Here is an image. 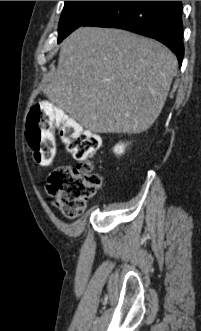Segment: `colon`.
Returning a JSON list of instances; mask_svg holds the SVG:
<instances>
[{
	"label": "colon",
	"mask_w": 201,
	"mask_h": 331,
	"mask_svg": "<svg viewBox=\"0 0 201 331\" xmlns=\"http://www.w3.org/2000/svg\"><path fill=\"white\" fill-rule=\"evenodd\" d=\"M55 130L77 164L55 168L48 178L47 191L66 217L75 218L101 188L102 176L90 161L101 143L98 136L84 130L61 109L40 102L31 108L26 124L27 141L38 164L48 165L54 160Z\"/></svg>",
	"instance_id": "1"
}]
</instances>
